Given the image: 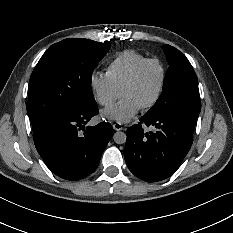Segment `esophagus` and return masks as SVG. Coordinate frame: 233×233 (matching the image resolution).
Listing matches in <instances>:
<instances>
[{"label":"esophagus","mask_w":233,"mask_h":233,"mask_svg":"<svg viewBox=\"0 0 233 233\" xmlns=\"http://www.w3.org/2000/svg\"><path fill=\"white\" fill-rule=\"evenodd\" d=\"M113 128L116 130V131H120L123 129V125L121 123H114L113 124Z\"/></svg>","instance_id":"1"}]
</instances>
